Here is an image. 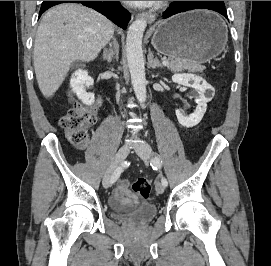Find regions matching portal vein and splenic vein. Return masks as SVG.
Listing matches in <instances>:
<instances>
[{"mask_svg": "<svg viewBox=\"0 0 271 266\" xmlns=\"http://www.w3.org/2000/svg\"><path fill=\"white\" fill-rule=\"evenodd\" d=\"M162 64H163L164 66H168V65H169V61H168V60H163V61H162Z\"/></svg>", "mask_w": 271, "mask_h": 266, "instance_id": "18ae733b", "label": "portal vein and splenic vein"}]
</instances>
